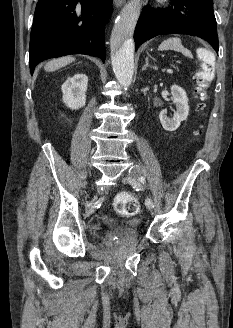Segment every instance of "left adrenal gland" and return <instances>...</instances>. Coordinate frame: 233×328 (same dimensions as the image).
I'll return each mask as SVG.
<instances>
[{
	"mask_svg": "<svg viewBox=\"0 0 233 328\" xmlns=\"http://www.w3.org/2000/svg\"><path fill=\"white\" fill-rule=\"evenodd\" d=\"M147 67L157 70V66H153V65L149 64L148 57H146V59H145V65L142 67V71H145L147 69Z\"/></svg>",
	"mask_w": 233,
	"mask_h": 328,
	"instance_id": "a2214340",
	"label": "left adrenal gland"
}]
</instances>
